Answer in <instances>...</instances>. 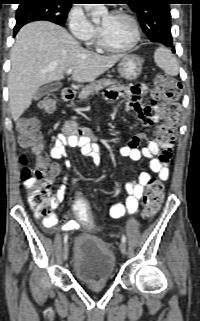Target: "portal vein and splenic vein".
Returning <instances> with one entry per match:
<instances>
[{
	"mask_svg": "<svg viewBox=\"0 0 200 321\" xmlns=\"http://www.w3.org/2000/svg\"><path fill=\"white\" fill-rule=\"evenodd\" d=\"M72 72H73V69H68V70L66 71V73H67L68 75L72 74Z\"/></svg>",
	"mask_w": 200,
	"mask_h": 321,
	"instance_id": "portal-vein-and-splenic-vein-1",
	"label": "portal vein and splenic vein"
}]
</instances>
